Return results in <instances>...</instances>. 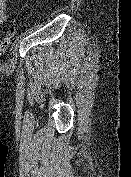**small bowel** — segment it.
<instances>
[{
	"instance_id": "small-bowel-1",
	"label": "small bowel",
	"mask_w": 131,
	"mask_h": 177,
	"mask_svg": "<svg viewBox=\"0 0 131 177\" xmlns=\"http://www.w3.org/2000/svg\"><path fill=\"white\" fill-rule=\"evenodd\" d=\"M14 0H0V25H3L9 17L7 6Z\"/></svg>"
}]
</instances>
